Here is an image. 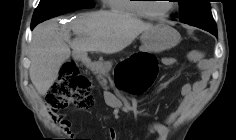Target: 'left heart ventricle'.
I'll list each match as a JSON object with an SVG mask.
<instances>
[{
	"label": "left heart ventricle",
	"mask_w": 236,
	"mask_h": 140,
	"mask_svg": "<svg viewBox=\"0 0 236 140\" xmlns=\"http://www.w3.org/2000/svg\"><path fill=\"white\" fill-rule=\"evenodd\" d=\"M152 2L148 4L149 9L153 13H163L171 7V2L164 0H151Z\"/></svg>",
	"instance_id": "left-heart-ventricle-1"
}]
</instances>
